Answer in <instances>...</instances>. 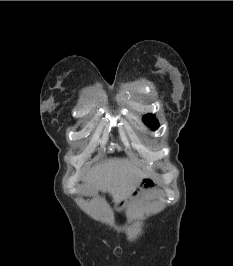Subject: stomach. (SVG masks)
Returning a JSON list of instances; mask_svg holds the SVG:
<instances>
[{
	"label": "stomach",
	"mask_w": 233,
	"mask_h": 266,
	"mask_svg": "<svg viewBox=\"0 0 233 266\" xmlns=\"http://www.w3.org/2000/svg\"><path fill=\"white\" fill-rule=\"evenodd\" d=\"M161 189V184L152 177H144L135 189L137 195L151 194Z\"/></svg>",
	"instance_id": "stomach-1"
}]
</instances>
